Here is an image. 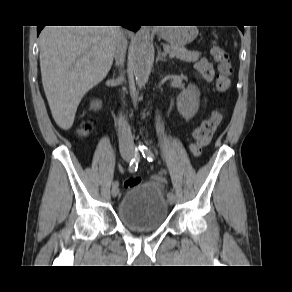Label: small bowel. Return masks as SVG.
Segmentation results:
<instances>
[{"instance_id": "1", "label": "small bowel", "mask_w": 292, "mask_h": 292, "mask_svg": "<svg viewBox=\"0 0 292 292\" xmlns=\"http://www.w3.org/2000/svg\"><path fill=\"white\" fill-rule=\"evenodd\" d=\"M194 70L197 76H199L205 82H210L214 78V64L205 58H201L195 63ZM154 180L160 184L165 182V179L160 175H155Z\"/></svg>"}]
</instances>
